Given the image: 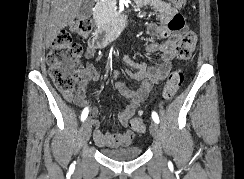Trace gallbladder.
I'll return each mask as SVG.
<instances>
[{"label": "gallbladder", "mask_w": 244, "mask_h": 179, "mask_svg": "<svg viewBox=\"0 0 244 179\" xmlns=\"http://www.w3.org/2000/svg\"><path fill=\"white\" fill-rule=\"evenodd\" d=\"M95 0H82L81 8L77 14V18H89L92 16V8Z\"/></svg>", "instance_id": "1"}]
</instances>
